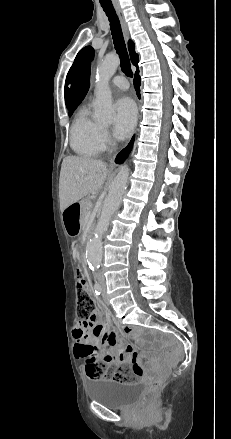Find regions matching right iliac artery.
<instances>
[{
	"label": "right iliac artery",
	"instance_id": "1",
	"mask_svg": "<svg viewBox=\"0 0 231 439\" xmlns=\"http://www.w3.org/2000/svg\"><path fill=\"white\" fill-rule=\"evenodd\" d=\"M94 289H95V293L97 295H100V293L102 292V287H101V285L99 283L95 284Z\"/></svg>",
	"mask_w": 231,
	"mask_h": 439
}]
</instances>
